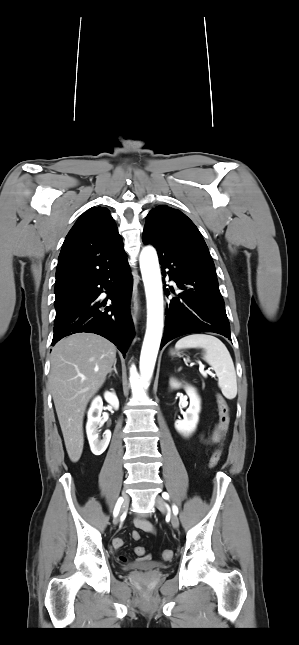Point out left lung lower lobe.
Listing matches in <instances>:
<instances>
[{"mask_svg": "<svg viewBox=\"0 0 299 645\" xmlns=\"http://www.w3.org/2000/svg\"><path fill=\"white\" fill-rule=\"evenodd\" d=\"M143 242L154 245L162 274L182 290L167 305L161 348L174 338L197 332H214L231 340L225 303L209 251L182 238ZM166 292L169 295L168 289Z\"/></svg>", "mask_w": 299, "mask_h": 645, "instance_id": "left-lung-lower-lobe-1", "label": "left lung lower lobe"}]
</instances>
